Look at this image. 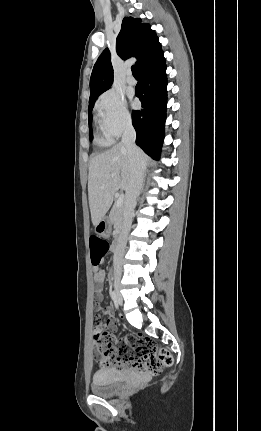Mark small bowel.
I'll use <instances>...</instances> for the list:
<instances>
[{
  "label": "small bowel",
  "instance_id": "obj_1",
  "mask_svg": "<svg viewBox=\"0 0 261 431\" xmlns=\"http://www.w3.org/2000/svg\"><path fill=\"white\" fill-rule=\"evenodd\" d=\"M104 280H105V271L102 269H99L97 267L94 268V283H95V298L94 303L100 304L103 300V292H104ZM105 313L110 319L105 320H99L97 321L95 319L94 321V333L101 332L104 330H108L112 328L113 319L116 316V313L111 309H106ZM95 317H100V312H95Z\"/></svg>",
  "mask_w": 261,
  "mask_h": 431
}]
</instances>
